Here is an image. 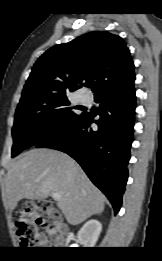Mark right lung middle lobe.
<instances>
[{
  "instance_id": "obj_1",
  "label": "right lung middle lobe",
  "mask_w": 162,
  "mask_h": 261,
  "mask_svg": "<svg viewBox=\"0 0 162 261\" xmlns=\"http://www.w3.org/2000/svg\"><path fill=\"white\" fill-rule=\"evenodd\" d=\"M68 96H34L18 104L12 130V157L50 135L68 127L84 115L76 114Z\"/></svg>"
}]
</instances>
